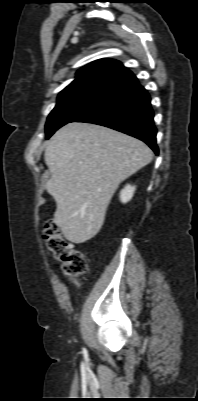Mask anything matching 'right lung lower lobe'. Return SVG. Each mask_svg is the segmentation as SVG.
<instances>
[{"mask_svg": "<svg viewBox=\"0 0 198 401\" xmlns=\"http://www.w3.org/2000/svg\"><path fill=\"white\" fill-rule=\"evenodd\" d=\"M153 116L149 94L131 76L111 89L95 109L76 122L98 124L136 137L158 155Z\"/></svg>", "mask_w": 198, "mask_h": 401, "instance_id": "right-lung-lower-lobe-1", "label": "right lung lower lobe"}]
</instances>
